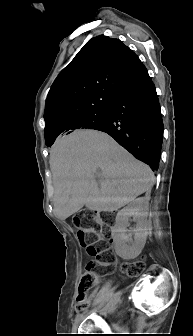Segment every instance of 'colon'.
Returning a JSON list of instances; mask_svg holds the SVG:
<instances>
[{"label":"colon","mask_w":193,"mask_h":336,"mask_svg":"<svg viewBox=\"0 0 193 336\" xmlns=\"http://www.w3.org/2000/svg\"><path fill=\"white\" fill-rule=\"evenodd\" d=\"M112 219L108 213L85 211L73 217L72 225L77 230V238L88 253L96 258L99 265L107 264L112 253L109 246L111 238ZM98 264L89 263L86 272L81 278L77 295V305L83 308L86 305L88 293L96 286L98 275L95 271ZM145 267L143 259H138L123 264V270L129 277L139 276Z\"/></svg>","instance_id":"5ec220e1"}]
</instances>
